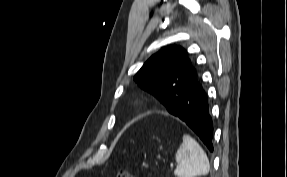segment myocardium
I'll list each match as a JSON object with an SVG mask.
<instances>
[{"label": "myocardium", "mask_w": 287, "mask_h": 177, "mask_svg": "<svg viewBox=\"0 0 287 177\" xmlns=\"http://www.w3.org/2000/svg\"><path fill=\"white\" fill-rule=\"evenodd\" d=\"M144 103H145V100H144V99H142V100H141V104H144Z\"/></svg>", "instance_id": "f54148a6"}]
</instances>
